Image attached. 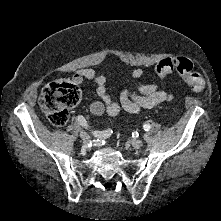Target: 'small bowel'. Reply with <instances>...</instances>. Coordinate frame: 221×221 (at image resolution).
Listing matches in <instances>:
<instances>
[{"label":"small bowel","instance_id":"small-bowel-1","mask_svg":"<svg viewBox=\"0 0 221 221\" xmlns=\"http://www.w3.org/2000/svg\"><path fill=\"white\" fill-rule=\"evenodd\" d=\"M144 68H136L131 71L130 77L140 78L144 74ZM84 80L93 81L97 85L96 93L100 101H93L90 111L94 115L107 114L110 117L117 116L121 109L130 114H137L142 110L153 109L171 100V94L159 87L156 83L138 85L135 91L125 90L119 95V102L112 99L106 87V76L97 73L94 69L84 68L76 70L73 81L81 84Z\"/></svg>","mask_w":221,"mask_h":221}]
</instances>
